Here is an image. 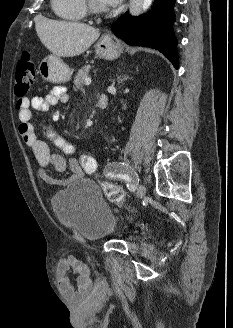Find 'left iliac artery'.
Listing matches in <instances>:
<instances>
[{"mask_svg": "<svg viewBox=\"0 0 233 328\" xmlns=\"http://www.w3.org/2000/svg\"><path fill=\"white\" fill-rule=\"evenodd\" d=\"M109 177L111 178H120L122 180H124L127 183V187L128 189H130L131 191L135 190V185L132 183L131 178L127 175V174H123V173H110L108 174Z\"/></svg>", "mask_w": 233, "mask_h": 328, "instance_id": "left-iliac-artery-1", "label": "left iliac artery"}]
</instances>
